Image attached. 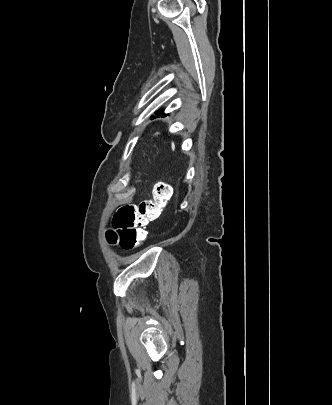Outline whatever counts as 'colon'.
<instances>
[{"label":"colon","instance_id":"5ec220e1","mask_svg":"<svg viewBox=\"0 0 332 405\" xmlns=\"http://www.w3.org/2000/svg\"><path fill=\"white\" fill-rule=\"evenodd\" d=\"M170 194L171 187L159 182L153 189L152 199L144 200L135 206H125L119 211L120 244L123 249L130 250L145 242L147 225L159 218ZM106 239L108 243H115L117 238L115 234H108Z\"/></svg>","mask_w":332,"mask_h":405}]
</instances>
